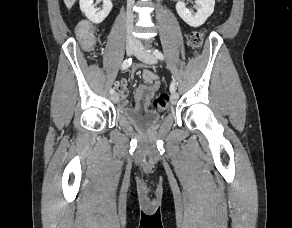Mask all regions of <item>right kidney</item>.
Here are the masks:
<instances>
[{"instance_id":"1","label":"right kidney","mask_w":292,"mask_h":228,"mask_svg":"<svg viewBox=\"0 0 292 228\" xmlns=\"http://www.w3.org/2000/svg\"><path fill=\"white\" fill-rule=\"evenodd\" d=\"M93 1L80 0V9L92 23L99 24L109 15L113 5L111 0H103L102 10H100L95 8Z\"/></svg>"}]
</instances>
